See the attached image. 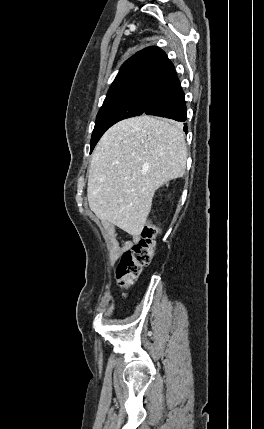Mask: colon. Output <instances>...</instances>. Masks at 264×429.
I'll list each match as a JSON object with an SVG mask.
<instances>
[{"mask_svg": "<svg viewBox=\"0 0 264 429\" xmlns=\"http://www.w3.org/2000/svg\"><path fill=\"white\" fill-rule=\"evenodd\" d=\"M158 227L149 222L141 233L139 241L129 250L122 252L115 268V277L120 288H127L134 283L142 268L148 265L153 257Z\"/></svg>", "mask_w": 264, "mask_h": 429, "instance_id": "colon-1", "label": "colon"}]
</instances>
